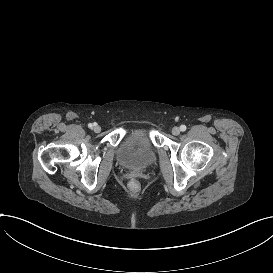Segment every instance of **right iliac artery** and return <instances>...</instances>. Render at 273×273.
Listing matches in <instances>:
<instances>
[{"label":"right iliac artery","mask_w":273,"mask_h":273,"mask_svg":"<svg viewBox=\"0 0 273 273\" xmlns=\"http://www.w3.org/2000/svg\"><path fill=\"white\" fill-rule=\"evenodd\" d=\"M95 125H97V123H95V122H94L93 124H92V123H89V124H88V127H89V128H92V126H95Z\"/></svg>","instance_id":"right-iliac-artery-1"}]
</instances>
